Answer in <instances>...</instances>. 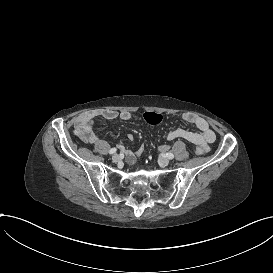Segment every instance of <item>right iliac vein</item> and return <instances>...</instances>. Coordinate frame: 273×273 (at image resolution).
<instances>
[{
    "label": "right iliac vein",
    "instance_id": "63e3f726",
    "mask_svg": "<svg viewBox=\"0 0 273 273\" xmlns=\"http://www.w3.org/2000/svg\"><path fill=\"white\" fill-rule=\"evenodd\" d=\"M112 160H113L114 162L119 161V160H120V155H119V154H114V155L112 156Z\"/></svg>",
    "mask_w": 273,
    "mask_h": 273
}]
</instances>
